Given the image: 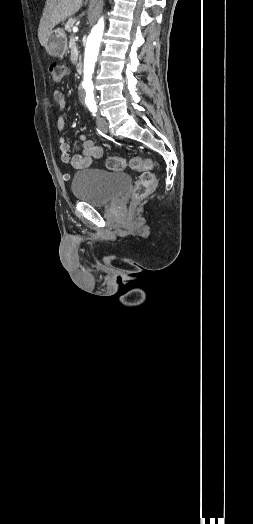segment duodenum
Wrapping results in <instances>:
<instances>
[{"label":"duodenum","mask_w":253,"mask_h":524,"mask_svg":"<svg viewBox=\"0 0 253 524\" xmlns=\"http://www.w3.org/2000/svg\"><path fill=\"white\" fill-rule=\"evenodd\" d=\"M75 69H76V72H77V73H81L82 70H83V63H82L81 61H78V62L76 63V67H75Z\"/></svg>","instance_id":"obj_1"}]
</instances>
